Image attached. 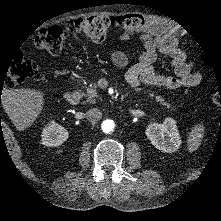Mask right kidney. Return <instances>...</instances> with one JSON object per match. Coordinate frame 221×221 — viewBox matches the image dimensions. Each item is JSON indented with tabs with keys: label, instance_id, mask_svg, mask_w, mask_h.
Here are the masks:
<instances>
[{
	"label": "right kidney",
	"instance_id": "ca27d5eb",
	"mask_svg": "<svg viewBox=\"0 0 221 221\" xmlns=\"http://www.w3.org/2000/svg\"><path fill=\"white\" fill-rule=\"evenodd\" d=\"M68 131L55 120L49 121L42 130L41 142L47 147H57L68 139Z\"/></svg>",
	"mask_w": 221,
	"mask_h": 221
}]
</instances>
